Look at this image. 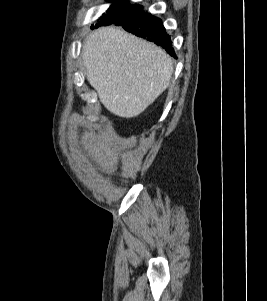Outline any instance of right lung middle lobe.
Returning a JSON list of instances; mask_svg holds the SVG:
<instances>
[{
  "instance_id": "right-lung-middle-lobe-1",
  "label": "right lung middle lobe",
  "mask_w": 267,
  "mask_h": 301,
  "mask_svg": "<svg viewBox=\"0 0 267 301\" xmlns=\"http://www.w3.org/2000/svg\"><path fill=\"white\" fill-rule=\"evenodd\" d=\"M114 3L110 6L107 14H103L96 27L103 25L115 24L116 22L122 20L125 17L134 15L136 13L142 12V7L140 5L129 6L127 0H108Z\"/></svg>"
}]
</instances>
